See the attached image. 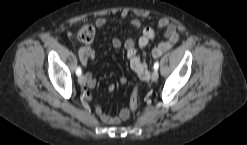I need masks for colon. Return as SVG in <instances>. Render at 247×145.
Listing matches in <instances>:
<instances>
[{
  "label": "colon",
  "mask_w": 247,
  "mask_h": 145,
  "mask_svg": "<svg viewBox=\"0 0 247 145\" xmlns=\"http://www.w3.org/2000/svg\"><path fill=\"white\" fill-rule=\"evenodd\" d=\"M94 28L92 25H84L80 28L78 32V39L82 42L89 43L93 40L94 38ZM139 106V101H138V89L135 86L132 90L131 98H130V111L131 112H136ZM126 117L129 116V111L127 110V114L125 115Z\"/></svg>",
  "instance_id": "1"
}]
</instances>
